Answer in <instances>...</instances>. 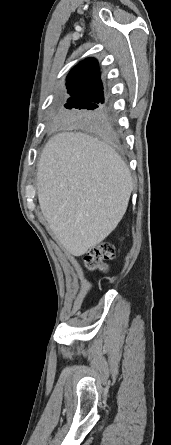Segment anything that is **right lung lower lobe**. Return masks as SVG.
I'll return each mask as SVG.
<instances>
[{"instance_id":"obj_1","label":"right lung lower lobe","mask_w":171,"mask_h":445,"mask_svg":"<svg viewBox=\"0 0 171 445\" xmlns=\"http://www.w3.org/2000/svg\"><path fill=\"white\" fill-rule=\"evenodd\" d=\"M108 109L105 112V114L103 115V117L101 118V126L105 132V135L107 137H112L113 136V129H112V125H111V121H110V116L108 113Z\"/></svg>"}]
</instances>
